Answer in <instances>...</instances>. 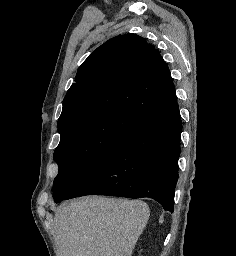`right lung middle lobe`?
<instances>
[{"label": "right lung middle lobe", "instance_id": "dd1d6c3e", "mask_svg": "<svg viewBox=\"0 0 236 256\" xmlns=\"http://www.w3.org/2000/svg\"><path fill=\"white\" fill-rule=\"evenodd\" d=\"M144 123L126 111H115L74 123L62 131L54 152L59 172L53 183L55 202L70 192L118 145Z\"/></svg>", "mask_w": 236, "mask_h": 256}]
</instances>
